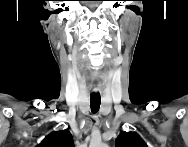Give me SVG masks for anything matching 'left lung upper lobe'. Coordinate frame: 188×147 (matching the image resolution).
I'll use <instances>...</instances> for the list:
<instances>
[{"label":"left lung upper lobe","instance_id":"1","mask_svg":"<svg viewBox=\"0 0 188 147\" xmlns=\"http://www.w3.org/2000/svg\"><path fill=\"white\" fill-rule=\"evenodd\" d=\"M116 147H147L136 132H124L116 139Z\"/></svg>","mask_w":188,"mask_h":147}]
</instances>
